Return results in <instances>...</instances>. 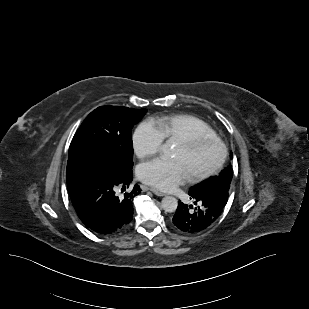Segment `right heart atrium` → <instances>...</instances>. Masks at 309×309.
<instances>
[{
  "label": "right heart atrium",
  "mask_w": 309,
  "mask_h": 309,
  "mask_svg": "<svg viewBox=\"0 0 309 309\" xmlns=\"http://www.w3.org/2000/svg\"><path fill=\"white\" fill-rule=\"evenodd\" d=\"M164 136L152 120H144L137 125L132 134V145L139 158L157 154L164 142Z\"/></svg>",
  "instance_id": "right-heart-atrium-1"
}]
</instances>
